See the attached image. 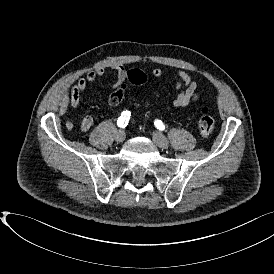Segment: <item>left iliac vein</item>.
<instances>
[{
    "label": "left iliac vein",
    "instance_id": "1",
    "mask_svg": "<svg viewBox=\"0 0 274 274\" xmlns=\"http://www.w3.org/2000/svg\"><path fill=\"white\" fill-rule=\"evenodd\" d=\"M152 138L155 144L160 148L166 149L169 147V141L160 132H153Z\"/></svg>",
    "mask_w": 274,
    "mask_h": 274
}]
</instances>
